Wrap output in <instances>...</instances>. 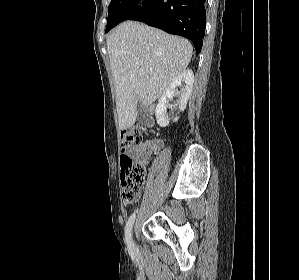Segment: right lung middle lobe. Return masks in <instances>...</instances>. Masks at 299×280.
<instances>
[{
  "label": "right lung middle lobe",
  "instance_id": "dd1d6c3e",
  "mask_svg": "<svg viewBox=\"0 0 299 280\" xmlns=\"http://www.w3.org/2000/svg\"><path fill=\"white\" fill-rule=\"evenodd\" d=\"M129 1L130 0H111V3L108 7L106 32H108L110 29L114 27V23L117 16Z\"/></svg>",
  "mask_w": 299,
  "mask_h": 280
}]
</instances>
